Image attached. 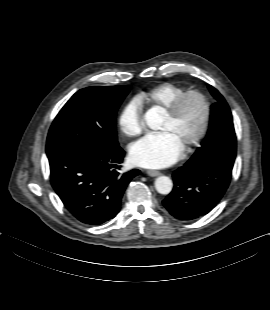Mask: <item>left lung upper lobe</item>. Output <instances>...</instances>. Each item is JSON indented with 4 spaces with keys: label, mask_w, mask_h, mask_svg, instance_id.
I'll use <instances>...</instances> for the list:
<instances>
[{
    "label": "left lung upper lobe",
    "mask_w": 270,
    "mask_h": 310,
    "mask_svg": "<svg viewBox=\"0 0 270 310\" xmlns=\"http://www.w3.org/2000/svg\"><path fill=\"white\" fill-rule=\"evenodd\" d=\"M209 89L217 102L211 106L208 135L189 161L232 169L236 157V135L231 111L223 96L210 85Z\"/></svg>",
    "instance_id": "1"
}]
</instances>
